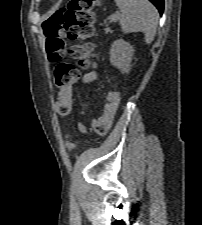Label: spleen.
<instances>
[{
	"label": "spleen",
	"mask_w": 202,
	"mask_h": 225,
	"mask_svg": "<svg viewBox=\"0 0 202 225\" xmlns=\"http://www.w3.org/2000/svg\"><path fill=\"white\" fill-rule=\"evenodd\" d=\"M121 11L120 25L124 33L141 31L151 43L158 25V12L148 0H114Z\"/></svg>",
	"instance_id": "obj_1"
}]
</instances>
